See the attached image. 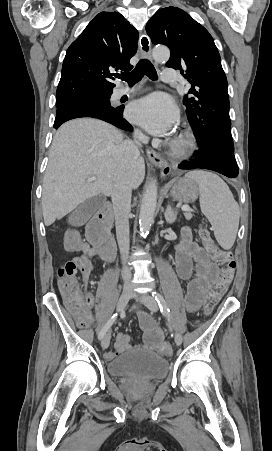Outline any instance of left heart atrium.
<instances>
[{"label": "left heart atrium", "instance_id": "1", "mask_svg": "<svg viewBox=\"0 0 272 451\" xmlns=\"http://www.w3.org/2000/svg\"><path fill=\"white\" fill-rule=\"evenodd\" d=\"M129 118L155 135H165L178 120L173 101L163 94H155L132 104Z\"/></svg>", "mask_w": 272, "mask_h": 451}]
</instances>
